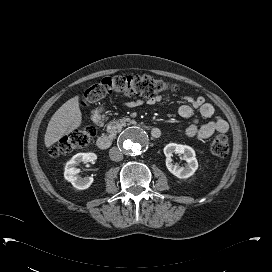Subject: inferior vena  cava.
Masks as SVG:
<instances>
[{
    "mask_svg": "<svg viewBox=\"0 0 272 272\" xmlns=\"http://www.w3.org/2000/svg\"><path fill=\"white\" fill-rule=\"evenodd\" d=\"M109 156L111 160L116 162L121 161L123 159V154L117 147H112L109 150Z\"/></svg>",
    "mask_w": 272,
    "mask_h": 272,
    "instance_id": "1",
    "label": "inferior vena cava"
}]
</instances>
